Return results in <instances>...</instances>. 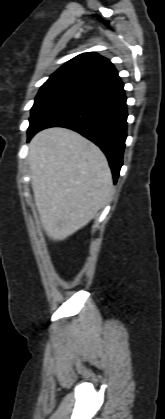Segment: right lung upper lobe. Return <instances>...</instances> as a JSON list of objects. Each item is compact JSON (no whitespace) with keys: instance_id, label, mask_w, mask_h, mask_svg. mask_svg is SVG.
Masks as SVG:
<instances>
[{"instance_id":"right-lung-upper-lobe-1","label":"right lung upper lobe","mask_w":165,"mask_h":419,"mask_svg":"<svg viewBox=\"0 0 165 419\" xmlns=\"http://www.w3.org/2000/svg\"><path fill=\"white\" fill-rule=\"evenodd\" d=\"M120 81L112 63L100 55L83 53L59 68L41 87L63 88L82 95L96 92Z\"/></svg>"}]
</instances>
